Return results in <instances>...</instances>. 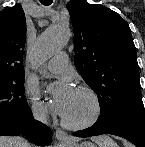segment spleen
<instances>
[{"label": "spleen", "mask_w": 145, "mask_h": 147, "mask_svg": "<svg viewBox=\"0 0 145 147\" xmlns=\"http://www.w3.org/2000/svg\"><path fill=\"white\" fill-rule=\"evenodd\" d=\"M99 147H118V145L107 136L100 137L97 141Z\"/></svg>", "instance_id": "1"}]
</instances>
